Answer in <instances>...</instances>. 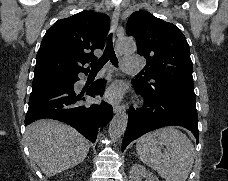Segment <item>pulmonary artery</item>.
Here are the masks:
<instances>
[{
	"mask_svg": "<svg viewBox=\"0 0 228 181\" xmlns=\"http://www.w3.org/2000/svg\"><path fill=\"white\" fill-rule=\"evenodd\" d=\"M138 62H143V57H122L121 71H137Z\"/></svg>",
	"mask_w": 228,
	"mask_h": 181,
	"instance_id": "1",
	"label": "pulmonary artery"
}]
</instances>
